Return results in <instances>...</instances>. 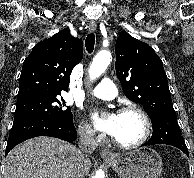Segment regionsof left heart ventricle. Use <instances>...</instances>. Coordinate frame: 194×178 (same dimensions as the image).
I'll return each mask as SVG.
<instances>
[{
    "mask_svg": "<svg viewBox=\"0 0 194 178\" xmlns=\"http://www.w3.org/2000/svg\"><path fill=\"white\" fill-rule=\"evenodd\" d=\"M144 130L141 118L132 112L118 114V125L113 137L122 143L138 140Z\"/></svg>",
    "mask_w": 194,
    "mask_h": 178,
    "instance_id": "obj_1",
    "label": "left heart ventricle"
}]
</instances>
